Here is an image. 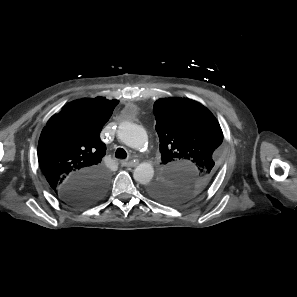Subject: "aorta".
Listing matches in <instances>:
<instances>
[{"instance_id": "aorta-1", "label": "aorta", "mask_w": 297, "mask_h": 297, "mask_svg": "<svg viewBox=\"0 0 297 297\" xmlns=\"http://www.w3.org/2000/svg\"><path fill=\"white\" fill-rule=\"evenodd\" d=\"M118 139L126 146L140 150L148 142V135L145 129L131 122H123L117 131ZM154 176V168L152 164L140 163L133 172L135 181L140 184H148Z\"/></svg>"}]
</instances>
